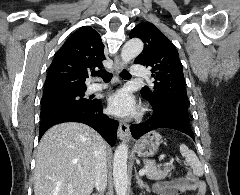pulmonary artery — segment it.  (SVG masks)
I'll return each instance as SVG.
<instances>
[{"label": "pulmonary artery", "instance_id": "1", "mask_svg": "<svg viewBox=\"0 0 240 195\" xmlns=\"http://www.w3.org/2000/svg\"><path fill=\"white\" fill-rule=\"evenodd\" d=\"M142 70H146V65H134L132 67L131 73H132V77L136 78L137 76H148V71H142ZM108 85L106 83H92L87 87V92L89 94L91 93H95L98 92L100 90H103L105 88H107Z\"/></svg>", "mask_w": 240, "mask_h": 195}]
</instances>
